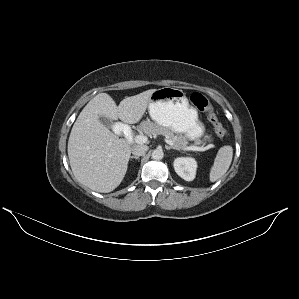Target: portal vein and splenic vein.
Here are the masks:
<instances>
[{
	"label": "portal vein and splenic vein",
	"mask_w": 299,
	"mask_h": 299,
	"mask_svg": "<svg viewBox=\"0 0 299 299\" xmlns=\"http://www.w3.org/2000/svg\"><path fill=\"white\" fill-rule=\"evenodd\" d=\"M134 142L138 143V144H143L146 143L148 141V138L145 135H136L134 138H131ZM165 142L173 147H175L174 143L169 140V139H165ZM183 150H188V151H205L206 148L204 147H198V146H186L182 148Z\"/></svg>",
	"instance_id": "obj_1"
}]
</instances>
